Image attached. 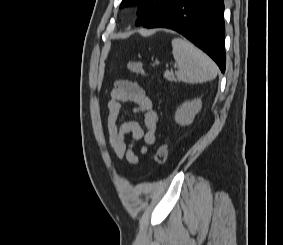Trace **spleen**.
Here are the masks:
<instances>
[{
  "label": "spleen",
  "mask_w": 283,
  "mask_h": 245,
  "mask_svg": "<svg viewBox=\"0 0 283 245\" xmlns=\"http://www.w3.org/2000/svg\"><path fill=\"white\" fill-rule=\"evenodd\" d=\"M172 54L178 63L177 79L185 83H202L217 76L216 64L185 39L172 40Z\"/></svg>",
  "instance_id": "1"
}]
</instances>
